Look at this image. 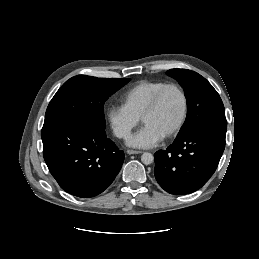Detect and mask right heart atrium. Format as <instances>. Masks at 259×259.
<instances>
[{"instance_id": "d8ad5b80", "label": "right heart atrium", "mask_w": 259, "mask_h": 259, "mask_svg": "<svg viewBox=\"0 0 259 259\" xmlns=\"http://www.w3.org/2000/svg\"><path fill=\"white\" fill-rule=\"evenodd\" d=\"M107 119L114 135L119 139H127L139 123V118L123 105L111 106L107 111Z\"/></svg>"}]
</instances>
